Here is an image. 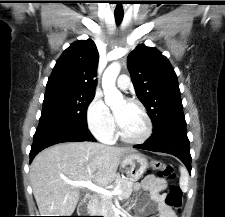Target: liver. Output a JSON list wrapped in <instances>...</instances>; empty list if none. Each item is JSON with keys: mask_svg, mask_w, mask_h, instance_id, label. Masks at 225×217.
I'll use <instances>...</instances> for the list:
<instances>
[{"mask_svg": "<svg viewBox=\"0 0 225 217\" xmlns=\"http://www.w3.org/2000/svg\"><path fill=\"white\" fill-rule=\"evenodd\" d=\"M132 148L93 142H66L41 151L30 166L33 194L41 216H71L83 187L67 181H88L105 187L117 177L121 159Z\"/></svg>", "mask_w": 225, "mask_h": 217, "instance_id": "6515ba94", "label": "liver"}]
</instances>
